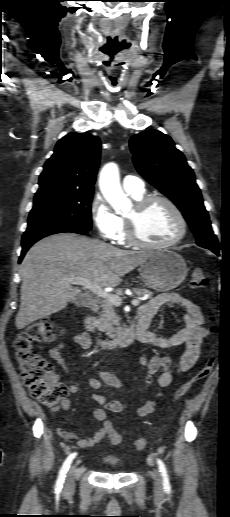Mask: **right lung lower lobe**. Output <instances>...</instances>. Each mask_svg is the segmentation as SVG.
I'll use <instances>...</instances> for the list:
<instances>
[{"label":"right lung lower lobe","mask_w":230,"mask_h":517,"mask_svg":"<svg viewBox=\"0 0 230 517\" xmlns=\"http://www.w3.org/2000/svg\"><path fill=\"white\" fill-rule=\"evenodd\" d=\"M61 232H73L85 235L88 233V230L66 224H54L48 226H41L33 229H27L22 237V252L19 258V263L22 261L27 250L38 240L46 236Z\"/></svg>","instance_id":"1"}]
</instances>
